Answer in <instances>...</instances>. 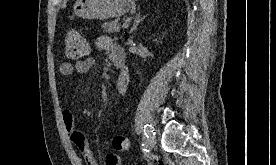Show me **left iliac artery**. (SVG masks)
I'll return each mask as SVG.
<instances>
[{"label":"left iliac artery","instance_id":"obj_1","mask_svg":"<svg viewBox=\"0 0 276 165\" xmlns=\"http://www.w3.org/2000/svg\"><path fill=\"white\" fill-rule=\"evenodd\" d=\"M154 132V129L151 125H145L144 126V136H143V140H142V147L147 148L148 144H149V138L152 136Z\"/></svg>","mask_w":276,"mask_h":165}]
</instances>
